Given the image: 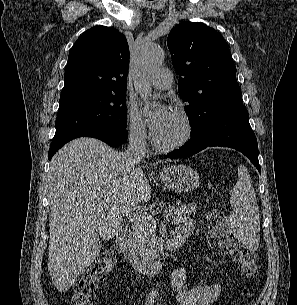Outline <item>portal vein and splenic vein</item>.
Instances as JSON below:
<instances>
[{
	"mask_svg": "<svg viewBox=\"0 0 297 305\" xmlns=\"http://www.w3.org/2000/svg\"><path fill=\"white\" fill-rule=\"evenodd\" d=\"M170 208H166L165 209V214L168 215V212H170ZM147 213H142V212H139V213H136V214H133V215H130L129 217L132 218V219H138L140 217H143L145 216Z\"/></svg>",
	"mask_w": 297,
	"mask_h": 305,
	"instance_id": "obj_1",
	"label": "portal vein and splenic vein"
}]
</instances>
